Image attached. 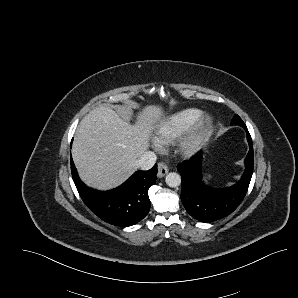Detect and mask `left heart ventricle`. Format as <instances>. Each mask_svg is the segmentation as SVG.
I'll return each mask as SVG.
<instances>
[{"label":"left heart ventricle","instance_id":"b2bd125f","mask_svg":"<svg viewBox=\"0 0 298 298\" xmlns=\"http://www.w3.org/2000/svg\"><path fill=\"white\" fill-rule=\"evenodd\" d=\"M206 128H207V125L204 124V125L202 126V129L205 130Z\"/></svg>","mask_w":298,"mask_h":298}]
</instances>
